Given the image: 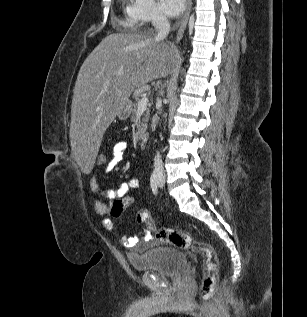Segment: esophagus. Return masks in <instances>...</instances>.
I'll list each match as a JSON object with an SVG mask.
<instances>
[{"instance_id": "obj_1", "label": "esophagus", "mask_w": 307, "mask_h": 317, "mask_svg": "<svg viewBox=\"0 0 307 317\" xmlns=\"http://www.w3.org/2000/svg\"><path fill=\"white\" fill-rule=\"evenodd\" d=\"M191 6H192V0H187V7H186V11L185 14L180 22V26L176 35V42H179L184 34V31L187 27V23H188V19H189V15H190V11H191Z\"/></svg>"}]
</instances>
